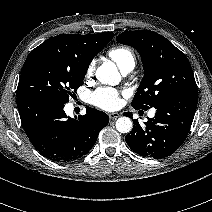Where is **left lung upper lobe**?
<instances>
[{
  "instance_id": "left-lung-upper-lobe-1",
  "label": "left lung upper lobe",
  "mask_w": 212,
  "mask_h": 212,
  "mask_svg": "<svg viewBox=\"0 0 212 212\" xmlns=\"http://www.w3.org/2000/svg\"><path fill=\"white\" fill-rule=\"evenodd\" d=\"M117 42L130 45L141 55L144 77L132 107L148 110L183 94H197L191 65L166 38L149 30L125 31Z\"/></svg>"
}]
</instances>
